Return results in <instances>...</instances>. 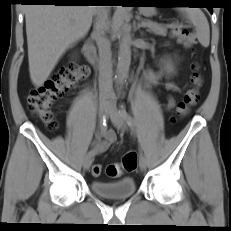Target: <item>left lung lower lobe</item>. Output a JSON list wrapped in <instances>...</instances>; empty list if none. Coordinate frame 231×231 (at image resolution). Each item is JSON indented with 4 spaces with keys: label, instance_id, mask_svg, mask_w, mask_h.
<instances>
[{
    "label": "left lung lower lobe",
    "instance_id": "0a47b994",
    "mask_svg": "<svg viewBox=\"0 0 231 231\" xmlns=\"http://www.w3.org/2000/svg\"><path fill=\"white\" fill-rule=\"evenodd\" d=\"M208 10L210 11V13H213V8L212 7H208Z\"/></svg>",
    "mask_w": 231,
    "mask_h": 231
}]
</instances>
